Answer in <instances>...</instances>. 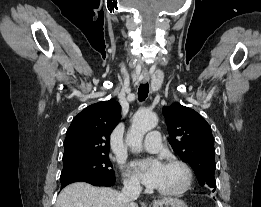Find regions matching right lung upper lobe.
Returning <instances> with one entry per match:
<instances>
[{
	"label": "right lung upper lobe",
	"mask_w": 261,
	"mask_h": 207,
	"mask_svg": "<svg viewBox=\"0 0 261 207\" xmlns=\"http://www.w3.org/2000/svg\"><path fill=\"white\" fill-rule=\"evenodd\" d=\"M115 100L86 107L76 115L66 132L63 161L77 157L109 154V140L121 117Z\"/></svg>",
	"instance_id": "obj_1"
}]
</instances>
